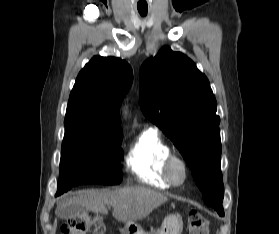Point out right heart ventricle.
<instances>
[{"label":"right heart ventricle","instance_id":"right-heart-ventricle-1","mask_svg":"<svg viewBox=\"0 0 279 234\" xmlns=\"http://www.w3.org/2000/svg\"><path fill=\"white\" fill-rule=\"evenodd\" d=\"M171 150L153 130H145L129 148L125 164L128 171L141 183L169 188L171 184L164 175V161Z\"/></svg>","mask_w":279,"mask_h":234}]
</instances>
